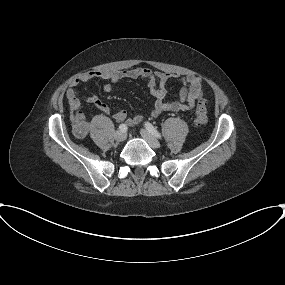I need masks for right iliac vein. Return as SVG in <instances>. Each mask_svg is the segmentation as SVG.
I'll return each mask as SVG.
<instances>
[{
	"instance_id": "1",
	"label": "right iliac vein",
	"mask_w": 285,
	"mask_h": 285,
	"mask_svg": "<svg viewBox=\"0 0 285 285\" xmlns=\"http://www.w3.org/2000/svg\"><path fill=\"white\" fill-rule=\"evenodd\" d=\"M114 139L117 141V142H122L126 139V133L125 132H122V131H116L114 133Z\"/></svg>"
}]
</instances>
